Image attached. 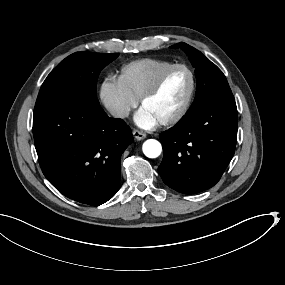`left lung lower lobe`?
Masks as SVG:
<instances>
[{"label":"left lung lower lobe","instance_id":"1","mask_svg":"<svg viewBox=\"0 0 285 285\" xmlns=\"http://www.w3.org/2000/svg\"><path fill=\"white\" fill-rule=\"evenodd\" d=\"M237 115L235 100H213L189 110L161 133L159 172L164 183L183 194L214 186L234 155Z\"/></svg>","mask_w":285,"mask_h":285}]
</instances>
